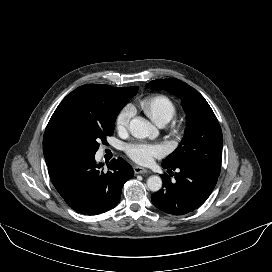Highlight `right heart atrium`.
<instances>
[{"label": "right heart atrium", "instance_id": "1", "mask_svg": "<svg viewBox=\"0 0 272 272\" xmlns=\"http://www.w3.org/2000/svg\"><path fill=\"white\" fill-rule=\"evenodd\" d=\"M132 116V110L129 107L122 109L115 120L116 129L119 132H125L129 126V122Z\"/></svg>", "mask_w": 272, "mask_h": 272}]
</instances>
